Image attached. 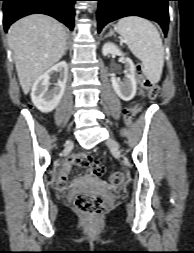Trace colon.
<instances>
[{"mask_svg":"<svg viewBox=\"0 0 194 253\" xmlns=\"http://www.w3.org/2000/svg\"><path fill=\"white\" fill-rule=\"evenodd\" d=\"M136 73L138 78L141 80V84L145 92L147 93L149 99H155L159 93V86L151 82V78H144L142 74V69L140 66H137ZM143 104H137L133 107L125 108L123 111L124 120L123 125H132L134 122V117L142 110ZM73 161L76 165L86 168L87 172L92 175L99 177L104 172L103 165L97 161L92 160L85 153H77L73 157ZM123 180V174L119 171H115L110 174L109 181L113 185H118ZM75 207L90 215H98L103 212L105 204L104 201L97 196L78 194L74 198Z\"/></svg>","mask_w":194,"mask_h":253,"instance_id":"colon-1","label":"colon"}]
</instances>
